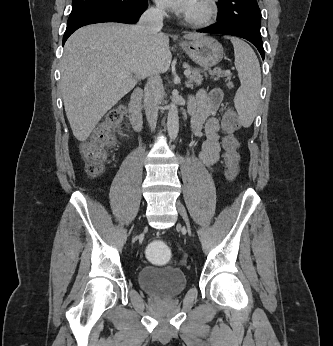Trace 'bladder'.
Here are the masks:
<instances>
[{
  "mask_svg": "<svg viewBox=\"0 0 333 346\" xmlns=\"http://www.w3.org/2000/svg\"><path fill=\"white\" fill-rule=\"evenodd\" d=\"M140 288L148 294L160 298H173L186 288L185 275L174 268L144 266L137 275Z\"/></svg>",
  "mask_w": 333,
  "mask_h": 346,
  "instance_id": "bladder-1",
  "label": "bladder"
}]
</instances>
